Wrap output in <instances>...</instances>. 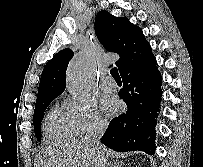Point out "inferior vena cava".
<instances>
[{"label": "inferior vena cava", "mask_w": 203, "mask_h": 167, "mask_svg": "<svg viewBox=\"0 0 203 167\" xmlns=\"http://www.w3.org/2000/svg\"><path fill=\"white\" fill-rule=\"evenodd\" d=\"M107 128V122L103 120H97L94 122L92 128L88 131L84 137V141L87 142L94 150L98 151L101 157L102 167H106V160L103 157L102 146L100 145V138L104 134Z\"/></svg>", "instance_id": "inferior-vena-cava-1"}]
</instances>
